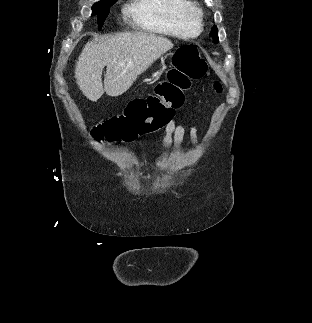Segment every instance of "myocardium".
I'll use <instances>...</instances> for the list:
<instances>
[{
	"mask_svg": "<svg viewBox=\"0 0 312 323\" xmlns=\"http://www.w3.org/2000/svg\"><path fill=\"white\" fill-rule=\"evenodd\" d=\"M180 2H190V0H180ZM187 11V12H186ZM179 15L185 17L187 15V19L191 21H200L202 17H206V10H194V8H184Z\"/></svg>",
	"mask_w": 312,
	"mask_h": 323,
	"instance_id": "obj_1",
	"label": "myocardium"
}]
</instances>
